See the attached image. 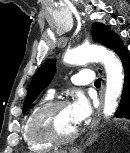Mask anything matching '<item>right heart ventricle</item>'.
<instances>
[{
  "mask_svg": "<svg viewBox=\"0 0 130 153\" xmlns=\"http://www.w3.org/2000/svg\"><path fill=\"white\" fill-rule=\"evenodd\" d=\"M52 97L50 95H47L43 97L37 104L33 106V108L30 110L27 118L25 119L23 126H22V138L27 147L30 150L38 151V152H44L48 151L53 147V144L47 141H42L39 139H36L32 136L30 130H29V124L31 121V118L33 114L44 104L50 102Z\"/></svg>",
  "mask_w": 130,
  "mask_h": 153,
  "instance_id": "e07e8e85",
  "label": "right heart ventricle"
}]
</instances>
